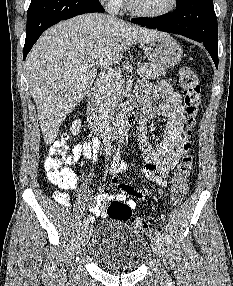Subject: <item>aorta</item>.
I'll list each match as a JSON object with an SVG mask.
<instances>
[{
    "label": "aorta",
    "mask_w": 233,
    "mask_h": 286,
    "mask_svg": "<svg viewBox=\"0 0 233 286\" xmlns=\"http://www.w3.org/2000/svg\"><path fill=\"white\" fill-rule=\"evenodd\" d=\"M116 126L119 137L123 138L124 131L126 129V120H125V115L122 111L119 112L118 115L116 116Z\"/></svg>",
    "instance_id": "obj_1"
}]
</instances>
